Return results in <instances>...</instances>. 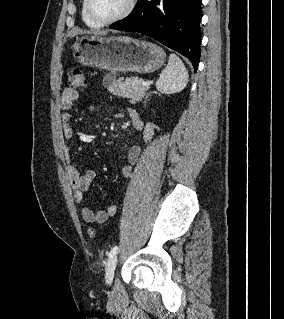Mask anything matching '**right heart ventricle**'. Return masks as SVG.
Returning <instances> with one entry per match:
<instances>
[{"label":"right heart ventricle","instance_id":"e07e8e85","mask_svg":"<svg viewBox=\"0 0 284 319\" xmlns=\"http://www.w3.org/2000/svg\"><path fill=\"white\" fill-rule=\"evenodd\" d=\"M80 13H81L82 21L85 23V25H87L88 27L93 28V29H97L100 27L99 25L95 24L93 21H91L88 18L86 11H85V0H82V2H81Z\"/></svg>","mask_w":284,"mask_h":319}]
</instances>
